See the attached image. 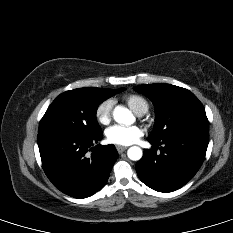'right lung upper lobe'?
Here are the masks:
<instances>
[{
    "instance_id": "1",
    "label": "right lung upper lobe",
    "mask_w": 233,
    "mask_h": 233,
    "mask_svg": "<svg viewBox=\"0 0 233 233\" xmlns=\"http://www.w3.org/2000/svg\"><path fill=\"white\" fill-rule=\"evenodd\" d=\"M84 89L89 90V91H93V92L114 91V90H111V89H104V88H84Z\"/></svg>"
}]
</instances>
